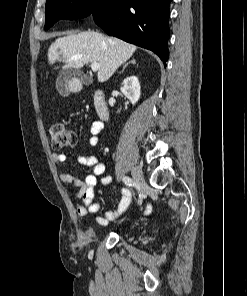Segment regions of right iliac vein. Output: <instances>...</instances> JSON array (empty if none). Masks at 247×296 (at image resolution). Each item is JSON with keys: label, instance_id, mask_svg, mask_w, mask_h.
Listing matches in <instances>:
<instances>
[{"label": "right iliac vein", "instance_id": "right-iliac-vein-1", "mask_svg": "<svg viewBox=\"0 0 247 296\" xmlns=\"http://www.w3.org/2000/svg\"><path fill=\"white\" fill-rule=\"evenodd\" d=\"M132 176L138 186L140 194H143L146 183H145V179H144L141 169L137 166L133 167L132 168Z\"/></svg>", "mask_w": 247, "mask_h": 296}]
</instances>
